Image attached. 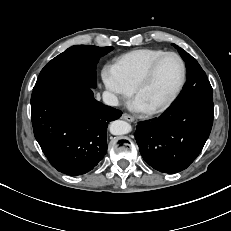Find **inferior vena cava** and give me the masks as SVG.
I'll return each instance as SVG.
<instances>
[{
	"mask_svg": "<svg viewBox=\"0 0 231 231\" xmlns=\"http://www.w3.org/2000/svg\"><path fill=\"white\" fill-rule=\"evenodd\" d=\"M102 99H103V102L109 106H117L119 104L117 96L108 91L103 92Z\"/></svg>",
	"mask_w": 231,
	"mask_h": 231,
	"instance_id": "1",
	"label": "inferior vena cava"
}]
</instances>
